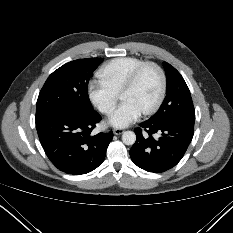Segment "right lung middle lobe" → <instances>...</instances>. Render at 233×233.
Masks as SVG:
<instances>
[{"label": "right lung middle lobe", "mask_w": 233, "mask_h": 233, "mask_svg": "<svg viewBox=\"0 0 233 233\" xmlns=\"http://www.w3.org/2000/svg\"><path fill=\"white\" fill-rule=\"evenodd\" d=\"M102 61V58L79 59L55 70L38 96L36 118L50 113L93 111L87 86L92 72Z\"/></svg>", "instance_id": "dd1d6c3e"}]
</instances>
